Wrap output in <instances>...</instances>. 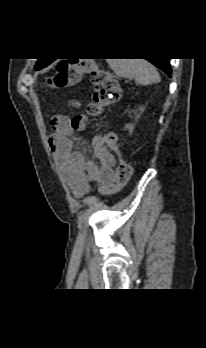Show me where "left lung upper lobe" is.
<instances>
[{
	"label": "left lung upper lobe",
	"mask_w": 206,
	"mask_h": 348,
	"mask_svg": "<svg viewBox=\"0 0 206 348\" xmlns=\"http://www.w3.org/2000/svg\"><path fill=\"white\" fill-rule=\"evenodd\" d=\"M50 63H51V61L39 59L35 65V69H37V70L42 69L43 67L47 66Z\"/></svg>",
	"instance_id": "left-lung-upper-lobe-1"
}]
</instances>
